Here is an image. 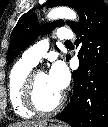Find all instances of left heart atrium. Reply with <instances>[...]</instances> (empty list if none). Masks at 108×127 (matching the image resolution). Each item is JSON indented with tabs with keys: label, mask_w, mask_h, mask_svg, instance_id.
<instances>
[{
	"label": "left heart atrium",
	"mask_w": 108,
	"mask_h": 127,
	"mask_svg": "<svg viewBox=\"0 0 108 127\" xmlns=\"http://www.w3.org/2000/svg\"><path fill=\"white\" fill-rule=\"evenodd\" d=\"M51 85L58 92H62L69 83V71L62 62H56L48 73Z\"/></svg>",
	"instance_id": "left-heart-atrium-1"
}]
</instances>
